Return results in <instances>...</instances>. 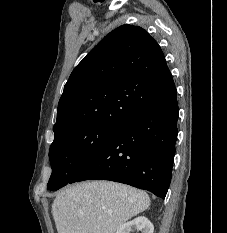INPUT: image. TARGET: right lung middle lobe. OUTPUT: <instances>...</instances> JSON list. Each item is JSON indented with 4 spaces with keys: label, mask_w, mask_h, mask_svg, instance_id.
<instances>
[{
    "label": "right lung middle lobe",
    "mask_w": 227,
    "mask_h": 233,
    "mask_svg": "<svg viewBox=\"0 0 227 233\" xmlns=\"http://www.w3.org/2000/svg\"><path fill=\"white\" fill-rule=\"evenodd\" d=\"M119 126L86 125L54 136L49 158L52 174L50 190L67 185L112 137Z\"/></svg>",
    "instance_id": "1"
}]
</instances>
